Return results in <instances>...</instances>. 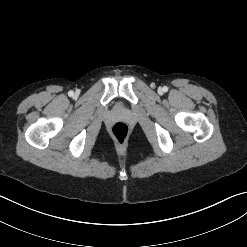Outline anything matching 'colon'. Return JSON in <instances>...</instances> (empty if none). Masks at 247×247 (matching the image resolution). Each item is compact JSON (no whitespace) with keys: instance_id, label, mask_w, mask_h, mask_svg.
<instances>
[{"instance_id":"1","label":"colon","mask_w":247,"mask_h":247,"mask_svg":"<svg viewBox=\"0 0 247 247\" xmlns=\"http://www.w3.org/2000/svg\"><path fill=\"white\" fill-rule=\"evenodd\" d=\"M111 132L119 143H123L129 135V127L124 122H117L112 126Z\"/></svg>"}]
</instances>
